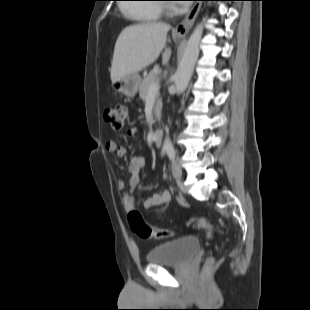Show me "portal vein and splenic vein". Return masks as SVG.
I'll return each mask as SVG.
<instances>
[{
  "label": "portal vein and splenic vein",
  "mask_w": 310,
  "mask_h": 310,
  "mask_svg": "<svg viewBox=\"0 0 310 310\" xmlns=\"http://www.w3.org/2000/svg\"><path fill=\"white\" fill-rule=\"evenodd\" d=\"M158 92H159V85L155 83L149 88L148 98L155 97L158 94Z\"/></svg>",
  "instance_id": "portal-vein-and-splenic-vein-1"
}]
</instances>
